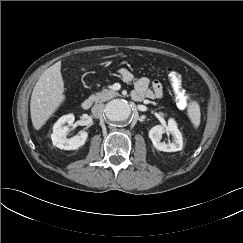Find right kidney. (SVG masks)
<instances>
[{
  "label": "right kidney",
  "instance_id": "ca27d5eb",
  "mask_svg": "<svg viewBox=\"0 0 243 243\" xmlns=\"http://www.w3.org/2000/svg\"><path fill=\"white\" fill-rule=\"evenodd\" d=\"M74 120L75 117L73 114L64 115L57 120L53 126V133L51 134L54 146L64 150H76L85 144L88 137L86 131H79L78 135L70 139L65 137L69 130V126L73 124ZM65 123H68V126H64Z\"/></svg>",
  "mask_w": 243,
  "mask_h": 243
}]
</instances>
